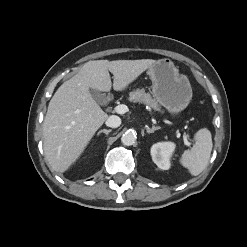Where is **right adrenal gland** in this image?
<instances>
[{
	"label": "right adrenal gland",
	"mask_w": 247,
	"mask_h": 247,
	"mask_svg": "<svg viewBox=\"0 0 247 247\" xmlns=\"http://www.w3.org/2000/svg\"><path fill=\"white\" fill-rule=\"evenodd\" d=\"M110 132H111V129H109V130L103 129L97 133V136H99L101 133H104L107 137Z\"/></svg>",
	"instance_id": "right-adrenal-gland-1"
}]
</instances>
